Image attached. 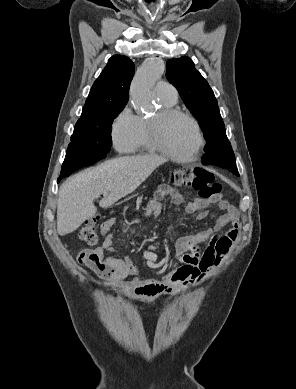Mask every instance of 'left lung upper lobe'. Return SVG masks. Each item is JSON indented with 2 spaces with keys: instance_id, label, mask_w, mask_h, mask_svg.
Wrapping results in <instances>:
<instances>
[{
  "instance_id": "5c2ea615",
  "label": "left lung upper lobe",
  "mask_w": 296,
  "mask_h": 389,
  "mask_svg": "<svg viewBox=\"0 0 296 389\" xmlns=\"http://www.w3.org/2000/svg\"><path fill=\"white\" fill-rule=\"evenodd\" d=\"M166 77L177 88L192 115L199 120L207 141L206 152L226 133L212 89L187 56L168 60Z\"/></svg>"
}]
</instances>
